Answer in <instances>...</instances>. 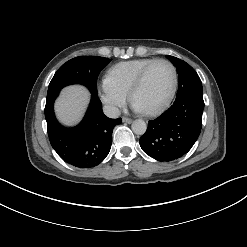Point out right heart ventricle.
<instances>
[{
    "instance_id": "right-heart-ventricle-1",
    "label": "right heart ventricle",
    "mask_w": 247,
    "mask_h": 247,
    "mask_svg": "<svg viewBox=\"0 0 247 247\" xmlns=\"http://www.w3.org/2000/svg\"><path fill=\"white\" fill-rule=\"evenodd\" d=\"M155 60V58H140L117 63L109 69L107 78L128 93L140 72Z\"/></svg>"
}]
</instances>
